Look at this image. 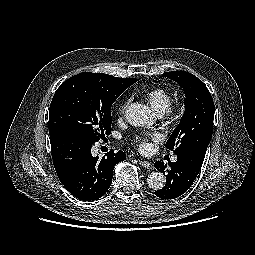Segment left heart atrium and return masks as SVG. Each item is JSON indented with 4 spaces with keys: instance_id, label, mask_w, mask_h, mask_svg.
<instances>
[{
    "instance_id": "left-heart-atrium-1",
    "label": "left heart atrium",
    "mask_w": 255,
    "mask_h": 255,
    "mask_svg": "<svg viewBox=\"0 0 255 255\" xmlns=\"http://www.w3.org/2000/svg\"><path fill=\"white\" fill-rule=\"evenodd\" d=\"M135 142L137 146L139 147V149L142 151H146L149 148L148 139L146 137L138 136L136 137Z\"/></svg>"
}]
</instances>
